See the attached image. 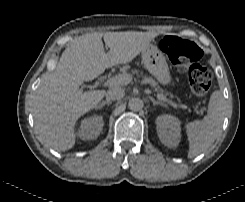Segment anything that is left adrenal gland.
<instances>
[{
    "instance_id": "left-adrenal-gland-1",
    "label": "left adrenal gland",
    "mask_w": 245,
    "mask_h": 202,
    "mask_svg": "<svg viewBox=\"0 0 245 202\" xmlns=\"http://www.w3.org/2000/svg\"><path fill=\"white\" fill-rule=\"evenodd\" d=\"M152 104L153 105H161V106H167L165 103L160 102V101H156L153 98H151Z\"/></svg>"
}]
</instances>
